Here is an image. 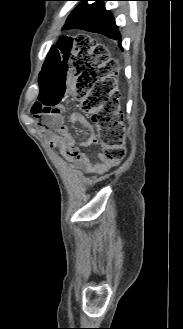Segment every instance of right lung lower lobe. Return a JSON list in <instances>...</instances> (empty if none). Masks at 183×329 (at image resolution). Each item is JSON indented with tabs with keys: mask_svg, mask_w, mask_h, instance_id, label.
I'll list each match as a JSON object with an SVG mask.
<instances>
[{
	"mask_svg": "<svg viewBox=\"0 0 183 329\" xmlns=\"http://www.w3.org/2000/svg\"><path fill=\"white\" fill-rule=\"evenodd\" d=\"M79 1L82 2L68 17L66 27L100 33L109 38L119 40V43H121V36L114 18L112 14L105 9L103 4V1L107 0H93L95 3L91 5H87V1L91 0ZM119 45L121 47V44Z\"/></svg>",
	"mask_w": 183,
	"mask_h": 329,
	"instance_id": "right-lung-lower-lobe-1",
	"label": "right lung lower lobe"
}]
</instances>
